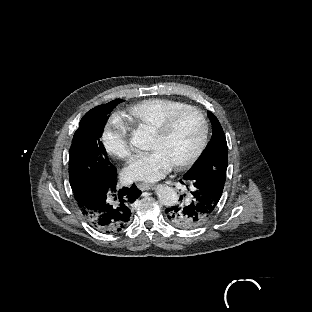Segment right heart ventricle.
<instances>
[{"label":"right heart ventricle","instance_id":"obj_1","mask_svg":"<svg viewBox=\"0 0 312 312\" xmlns=\"http://www.w3.org/2000/svg\"><path fill=\"white\" fill-rule=\"evenodd\" d=\"M186 107L185 100L180 96H151L146 100L137 99L131 105V113L141 122L150 126H161L168 118L182 112Z\"/></svg>","mask_w":312,"mask_h":312}]
</instances>
